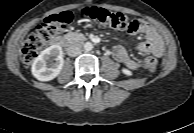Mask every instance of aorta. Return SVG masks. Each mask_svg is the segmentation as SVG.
<instances>
[{"label":"aorta","instance_id":"obj_1","mask_svg":"<svg viewBox=\"0 0 194 133\" xmlns=\"http://www.w3.org/2000/svg\"><path fill=\"white\" fill-rule=\"evenodd\" d=\"M84 49H85L86 51H91V50L93 49V44H92L91 42H86V43L84 44Z\"/></svg>","mask_w":194,"mask_h":133}]
</instances>
